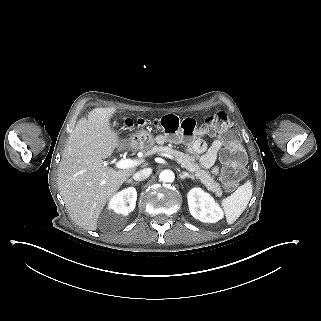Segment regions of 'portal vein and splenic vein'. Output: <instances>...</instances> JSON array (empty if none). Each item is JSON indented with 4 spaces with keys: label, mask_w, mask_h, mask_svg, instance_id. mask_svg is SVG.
I'll use <instances>...</instances> for the list:
<instances>
[{
    "label": "portal vein and splenic vein",
    "mask_w": 321,
    "mask_h": 321,
    "mask_svg": "<svg viewBox=\"0 0 321 321\" xmlns=\"http://www.w3.org/2000/svg\"><path fill=\"white\" fill-rule=\"evenodd\" d=\"M161 156L168 157L170 160H173V157L170 154L161 153ZM135 164L136 162L130 159H121L118 162H116L115 167L118 169H127L129 167L134 166Z\"/></svg>",
    "instance_id": "obj_1"
}]
</instances>
